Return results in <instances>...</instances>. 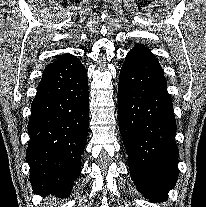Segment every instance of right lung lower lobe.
Here are the masks:
<instances>
[{
	"label": "right lung lower lobe",
	"instance_id": "obj_1",
	"mask_svg": "<svg viewBox=\"0 0 206 207\" xmlns=\"http://www.w3.org/2000/svg\"><path fill=\"white\" fill-rule=\"evenodd\" d=\"M88 78L71 55L46 67L28 123L27 162L37 194L70 195L88 134Z\"/></svg>",
	"mask_w": 206,
	"mask_h": 207
}]
</instances>
